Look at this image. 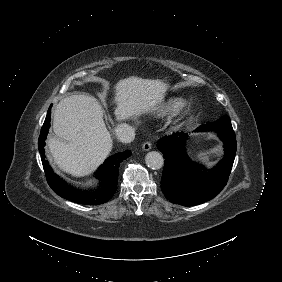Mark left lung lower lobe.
I'll return each mask as SVG.
<instances>
[{
	"mask_svg": "<svg viewBox=\"0 0 282 282\" xmlns=\"http://www.w3.org/2000/svg\"><path fill=\"white\" fill-rule=\"evenodd\" d=\"M195 131H215L224 143L223 160L205 174L201 172L204 167L193 163L185 152L186 134L173 133L157 143L165 159L162 192L170 202L182 206L198 205L217 196L228 181L236 154V138L229 116L201 125Z\"/></svg>",
	"mask_w": 282,
	"mask_h": 282,
	"instance_id": "obj_1",
	"label": "left lung lower lobe"
}]
</instances>
